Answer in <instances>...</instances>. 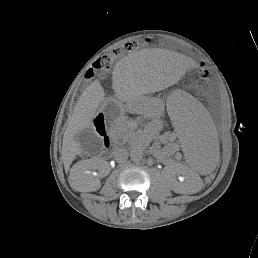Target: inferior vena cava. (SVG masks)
Returning <instances> with one entry per match:
<instances>
[{
	"mask_svg": "<svg viewBox=\"0 0 258 258\" xmlns=\"http://www.w3.org/2000/svg\"><path fill=\"white\" fill-rule=\"evenodd\" d=\"M114 158L118 163H124L128 159V152L125 149H119L115 152Z\"/></svg>",
	"mask_w": 258,
	"mask_h": 258,
	"instance_id": "obj_1",
	"label": "inferior vena cava"
}]
</instances>
